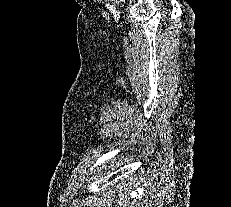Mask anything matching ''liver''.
<instances>
[{
	"instance_id": "obj_1",
	"label": "liver",
	"mask_w": 231,
	"mask_h": 207,
	"mask_svg": "<svg viewBox=\"0 0 231 207\" xmlns=\"http://www.w3.org/2000/svg\"><path fill=\"white\" fill-rule=\"evenodd\" d=\"M131 182H133V179H132V178L130 179V183H126V181H122V182H121V186H122L124 189H127V191H129L130 186H131Z\"/></svg>"
}]
</instances>
